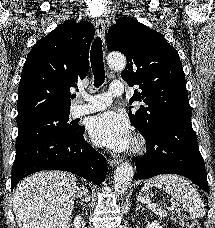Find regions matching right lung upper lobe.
Instances as JSON below:
<instances>
[{
    "label": "right lung upper lobe",
    "mask_w": 215,
    "mask_h": 228,
    "mask_svg": "<svg viewBox=\"0 0 215 228\" xmlns=\"http://www.w3.org/2000/svg\"><path fill=\"white\" fill-rule=\"evenodd\" d=\"M94 33L91 23L69 20L33 46L18 87L17 122L70 112V87L88 73Z\"/></svg>",
    "instance_id": "obj_1"
}]
</instances>
